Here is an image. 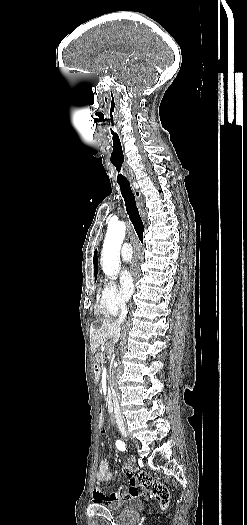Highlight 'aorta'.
Wrapping results in <instances>:
<instances>
[{"instance_id": "1", "label": "aorta", "mask_w": 247, "mask_h": 525, "mask_svg": "<svg viewBox=\"0 0 247 525\" xmlns=\"http://www.w3.org/2000/svg\"><path fill=\"white\" fill-rule=\"evenodd\" d=\"M125 231L124 222H114L108 225L101 254V264L104 274L111 279L116 277L120 268V249Z\"/></svg>"}]
</instances>
